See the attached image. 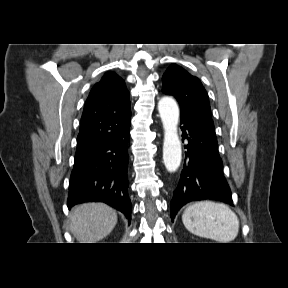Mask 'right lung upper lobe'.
<instances>
[{
    "label": "right lung upper lobe",
    "instance_id": "right-lung-upper-lobe-1",
    "mask_svg": "<svg viewBox=\"0 0 288 288\" xmlns=\"http://www.w3.org/2000/svg\"><path fill=\"white\" fill-rule=\"evenodd\" d=\"M130 118L131 105L125 82L114 72H107L86 100L76 154L105 142L127 128Z\"/></svg>",
    "mask_w": 288,
    "mask_h": 288
}]
</instances>
